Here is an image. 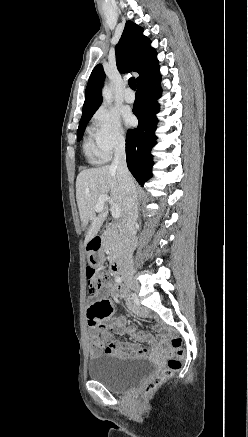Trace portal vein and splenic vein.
Returning a JSON list of instances; mask_svg holds the SVG:
<instances>
[{
	"label": "portal vein and splenic vein",
	"instance_id": "portal-vein-and-splenic-vein-1",
	"mask_svg": "<svg viewBox=\"0 0 248 437\" xmlns=\"http://www.w3.org/2000/svg\"><path fill=\"white\" fill-rule=\"evenodd\" d=\"M106 202H108L111 205L112 216L115 219H118L121 215V210L116 204L113 203V201L108 196L103 195L98 198L97 204L94 207L95 211L101 212Z\"/></svg>",
	"mask_w": 248,
	"mask_h": 437
}]
</instances>
